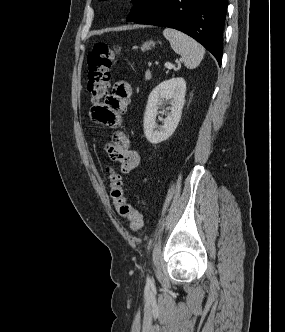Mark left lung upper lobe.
I'll return each mask as SVG.
<instances>
[{"instance_id": "5c2ea615", "label": "left lung upper lobe", "mask_w": 285, "mask_h": 332, "mask_svg": "<svg viewBox=\"0 0 285 332\" xmlns=\"http://www.w3.org/2000/svg\"><path fill=\"white\" fill-rule=\"evenodd\" d=\"M159 0H134V9L129 14L127 20L136 21L149 12Z\"/></svg>"}]
</instances>
